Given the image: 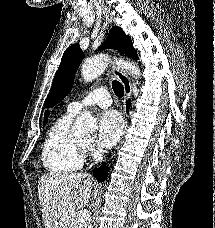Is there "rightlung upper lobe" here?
<instances>
[{"instance_id":"obj_1","label":"right lung upper lobe","mask_w":215,"mask_h":228,"mask_svg":"<svg viewBox=\"0 0 215 228\" xmlns=\"http://www.w3.org/2000/svg\"><path fill=\"white\" fill-rule=\"evenodd\" d=\"M48 116H49V113H46L44 118V124H46Z\"/></svg>"}]
</instances>
